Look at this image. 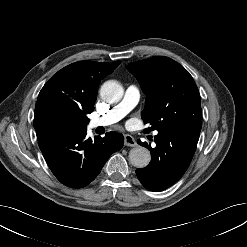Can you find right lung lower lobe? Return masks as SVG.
Returning a JSON list of instances; mask_svg holds the SVG:
<instances>
[{
	"mask_svg": "<svg viewBox=\"0 0 247 247\" xmlns=\"http://www.w3.org/2000/svg\"><path fill=\"white\" fill-rule=\"evenodd\" d=\"M40 150L55 177L71 188H82L93 181L112 153L124 144L122 134L86 137V129L64 132L49 130L37 137Z\"/></svg>",
	"mask_w": 247,
	"mask_h": 247,
	"instance_id": "obj_1",
	"label": "right lung lower lobe"
}]
</instances>
